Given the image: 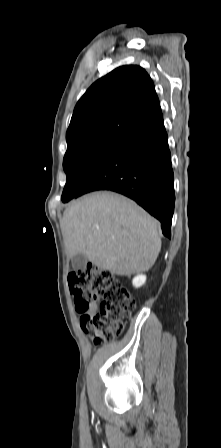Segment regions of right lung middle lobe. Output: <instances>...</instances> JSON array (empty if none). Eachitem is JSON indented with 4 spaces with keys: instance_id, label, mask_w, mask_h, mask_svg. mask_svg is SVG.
<instances>
[{
    "instance_id": "dd1d6c3e",
    "label": "right lung middle lobe",
    "mask_w": 221,
    "mask_h": 448,
    "mask_svg": "<svg viewBox=\"0 0 221 448\" xmlns=\"http://www.w3.org/2000/svg\"><path fill=\"white\" fill-rule=\"evenodd\" d=\"M117 140L97 141L68 150L63 168L67 176L62 201L68 202L80 195V191L98 168Z\"/></svg>"
}]
</instances>
